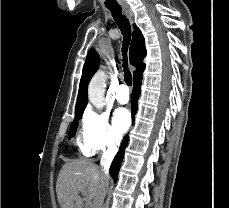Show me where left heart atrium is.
Instances as JSON below:
<instances>
[{
  "instance_id": "1",
  "label": "left heart atrium",
  "mask_w": 229,
  "mask_h": 208,
  "mask_svg": "<svg viewBox=\"0 0 229 208\" xmlns=\"http://www.w3.org/2000/svg\"><path fill=\"white\" fill-rule=\"evenodd\" d=\"M113 123L117 133L123 134L126 132L131 124L128 110L125 108L117 109L114 113Z\"/></svg>"
}]
</instances>
